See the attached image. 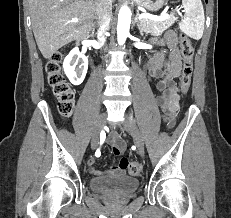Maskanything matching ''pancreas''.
<instances>
[{
	"label": "pancreas",
	"instance_id": "1",
	"mask_svg": "<svg viewBox=\"0 0 231 218\" xmlns=\"http://www.w3.org/2000/svg\"><path fill=\"white\" fill-rule=\"evenodd\" d=\"M175 20V17H169L166 20H153L149 18H143L140 20V26L145 33L159 36L166 29L171 27L174 24Z\"/></svg>",
	"mask_w": 231,
	"mask_h": 218
}]
</instances>
